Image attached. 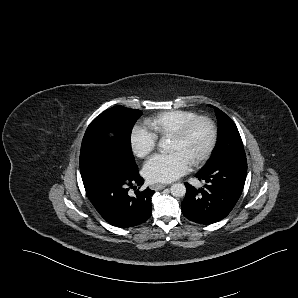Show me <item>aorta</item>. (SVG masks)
I'll list each match as a JSON object with an SVG mask.
<instances>
[{"label": "aorta", "instance_id": "762f6f07", "mask_svg": "<svg viewBox=\"0 0 298 298\" xmlns=\"http://www.w3.org/2000/svg\"><path fill=\"white\" fill-rule=\"evenodd\" d=\"M168 142L165 140L161 141L159 146L163 148L164 150H168ZM171 194L175 197H183L186 194V186L182 182H175L170 186Z\"/></svg>", "mask_w": 298, "mask_h": 298}]
</instances>
